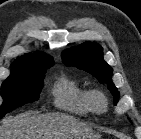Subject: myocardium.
Wrapping results in <instances>:
<instances>
[{"label": "myocardium", "mask_w": 141, "mask_h": 139, "mask_svg": "<svg viewBox=\"0 0 141 139\" xmlns=\"http://www.w3.org/2000/svg\"><path fill=\"white\" fill-rule=\"evenodd\" d=\"M92 105H93L95 112L102 113L107 108L108 100L103 93L99 91H93L92 92Z\"/></svg>", "instance_id": "f54148a6"}]
</instances>
